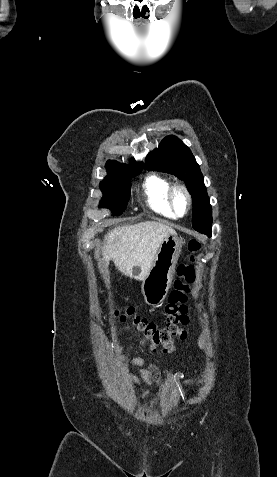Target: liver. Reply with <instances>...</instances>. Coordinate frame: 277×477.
Returning <instances> with one entry per match:
<instances>
[{
  "mask_svg": "<svg viewBox=\"0 0 277 477\" xmlns=\"http://www.w3.org/2000/svg\"><path fill=\"white\" fill-rule=\"evenodd\" d=\"M173 234H176L173 228L156 221L114 228L105 236L107 241L103 252L105 264L112 260L124 275L143 280L152 268L162 241ZM135 267L140 268L137 276L133 275Z\"/></svg>",
  "mask_w": 277,
  "mask_h": 477,
  "instance_id": "1",
  "label": "liver"
}]
</instances>
